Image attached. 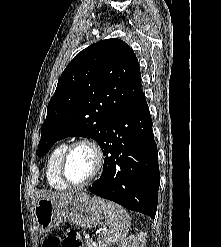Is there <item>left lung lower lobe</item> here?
Returning <instances> with one entry per match:
<instances>
[{"mask_svg": "<svg viewBox=\"0 0 221 247\" xmlns=\"http://www.w3.org/2000/svg\"><path fill=\"white\" fill-rule=\"evenodd\" d=\"M152 125L147 102L110 121L101 147L103 173L90 191L154 218L160 174Z\"/></svg>", "mask_w": 221, "mask_h": 247, "instance_id": "left-lung-lower-lobe-1", "label": "left lung lower lobe"}]
</instances>
